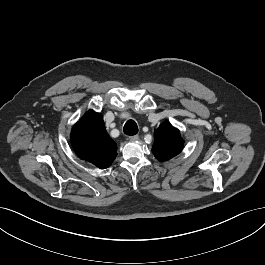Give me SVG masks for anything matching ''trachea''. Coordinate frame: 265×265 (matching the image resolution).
Listing matches in <instances>:
<instances>
[{
  "instance_id": "3493384b",
  "label": "trachea",
  "mask_w": 265,
  "mask_h": 265,
  "mask_svg": "<svg viewBox=\"0 0 265 265\" xmlns=\"http://www.w3.org/2000/svg\"><path fill=\"white\" fill-rule=\"evenodd\" d=\"M123 132L126 135L133 136L138 133V126L134 120H128L123 128Z\"/></svg>"
}]
</instances>
